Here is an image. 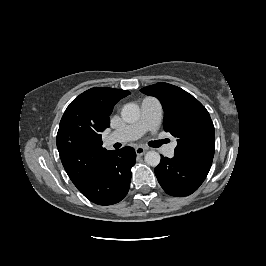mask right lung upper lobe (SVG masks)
<instances>
[{
  "instance_id": "right-lung-upper-lobe-1",
  "label": "right lung upper lobe",
  "mask_w": 266,
  "mask_h": 266,
  "mask_svg": "<svg viewBox=\"0 0 266 266\" xmlns=\"http://www.w3.org/2000/svg\"><path fill=\"white\" fill-rule=\"evenodd\" d=\"M130 92L96 87L76 97L65 110L57 133V148L66 173L81 192L94 180L106 156L101 132L110 126L114 105Z\"/></svg>"
}]
</instances>
